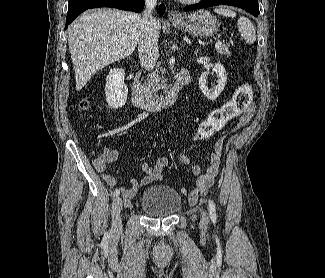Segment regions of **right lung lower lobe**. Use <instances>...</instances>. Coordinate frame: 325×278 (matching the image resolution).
Instances as JSON below:
<instances>
[{"instance_id": "1", "label": "right lung lower lobe", "mask_w": 325, "mask_h": 278, "mask_svg": "<svg viewBox=\"0 0 325 278\" xmlns=\"http://www.w3.org/2000/svg\"><path fill=\"white\" fill-rule=\"evenodd\" d=\"M97 7H112L141 12L144 7V0H70L65 29L80 13L87 9ZM164 11L165 6L163 4H161L159 8L157 6V12L159 15H163Z\"/></svg>"}]
</instances>
